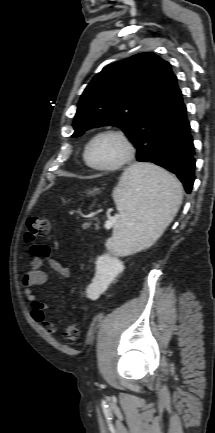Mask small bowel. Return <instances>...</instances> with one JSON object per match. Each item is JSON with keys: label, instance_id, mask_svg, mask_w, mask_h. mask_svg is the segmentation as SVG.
Returning a JSON list of instances; mask_svg holds the SVG:
<instances>
[{"label": "small bowel", "instance_id": "1", "mask_svg": "<svg viewBox=\"0 0 215 433\" xmlns=\"http://www.w3.org/2000/svg\"><path fill=\"white\" fill-rule=\"evenodd\" d=\"M31 250L35 256L30 261V268L22 279L25 286V295L30 302L33 319L42 324L49 334H54L55 327L48 321L46 316L47 306L38 299L34 288L45 285L48 282L49 276L44 270L47 266L64 278L69 277L70 271L58 260L51 257L52 250L49 246L36 244L32 246Z\"/></svg>", "mask_w": 215, "mask_h": 433}]
</instances>
